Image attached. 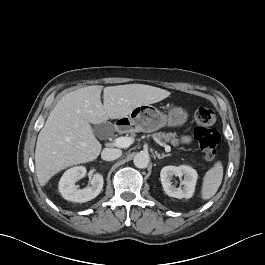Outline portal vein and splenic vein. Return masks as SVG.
Wrapping results in <instances>:
<instances>
[{"instance_id": "portal-vein-and-splenic-vein-1", "label": "portal vein and splenic vein", "mask_w": 265, "mask_h": 265, "mask_svg": "<svg viewBox=\"0 0 265 265\" xmlns=\"http://www.w3.org/2000/svg\"><path fill=\"white\" fill-rule=\"evenodd\" d=\"M134 142L132 137H118L114 140L113 145L118 148H126L129 147ZM166 152L171 151V147L169 145L164 146Z\"/></svg>"}]
</instances>
